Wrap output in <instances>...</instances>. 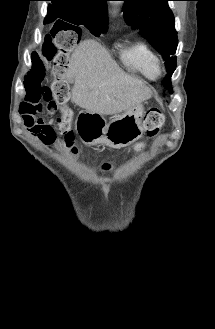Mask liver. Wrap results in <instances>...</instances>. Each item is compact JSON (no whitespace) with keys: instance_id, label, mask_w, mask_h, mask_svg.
<instances>
[{"instance_id":"6515ba94","label":"liver","mask_w":215,"mask_h":329,"mask_svg":"<svg viewBox=\"0 0 215 329\" xmlns=\"http://www.w3.org/2000/svg\"><path fill=\"white\" fill-rule=\"evenodd\" d=\"M67 80L74 83L72 102L99 115L121 113L152 95L149 87L126 74L94 40H85L76 47Z\"/></svg>"}]
</instances>
